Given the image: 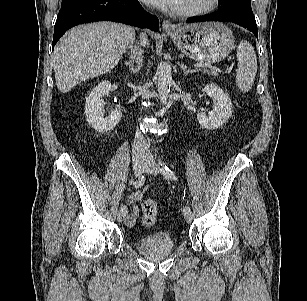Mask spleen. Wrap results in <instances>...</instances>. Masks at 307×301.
Instances as JSON below:
<instances>
[{
	"mask_svg": "<svg viewBox=\"0 0 307 301\" xmlns=\"http://www.w3.org/2000/svg\"><path fill=\"white\" fill-rule=\"evenodd\" d=\"M237 60L236 84L241 92L247 93L252 88L257 73V57L249 42H240L237 49Z\"/></svg>",
	"mask_w": 307,
	"mask_h": 301,
	"instance_id": "obj_1",
	"label": "spleen"
}]
</instances>
